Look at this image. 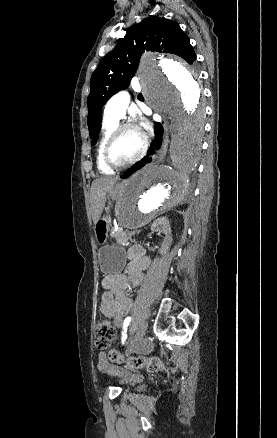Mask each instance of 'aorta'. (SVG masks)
<instances>
[{
    "instance_id": "1",
    "label": "aorta",
    "mask_w": 277,
    "mask_h": 438,
    "mask_svg": "<svg viewBox=\"0 0 277 438\" xmlns=\"http://www.w3.org/2000/svg\"><path fill=\"white\" fill-rule=\"evenodd\" d=\"M138 76L150 106L170 120L172 165H149L128 180L117 204L118 221L127 229L149 223L186 198L204 127L202 87L194 67L171 57L145 56Z\"/></svg>"
}]
</instances>
